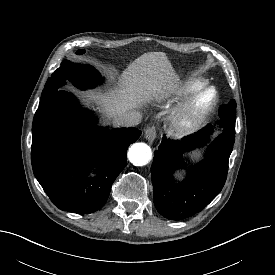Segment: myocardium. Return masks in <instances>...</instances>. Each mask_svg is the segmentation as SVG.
I'll return each instance as SVG.
<instances>
[{
	"label": "myocardium",
	"instance_id": "1",
	"mask_svg": "<svg viewBox=\"0 0 275 275\" xmlns=\"http://www.w3.org/2000/svg\"><path fill=\"white\" fill-rule=\"evenodd\" d=\"M206 94L211 95L208 105L202 112L195 114L194 107L197 99ZM218 102V92L212 86H203L191 92L171 111L167 120L169 133L177 138L196 133L205 126Z\"/></svg>",
	"mask_w": 275,
	"mask_h": 275
}]
</instances>
